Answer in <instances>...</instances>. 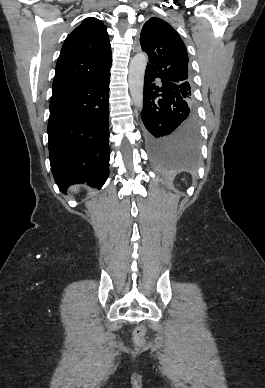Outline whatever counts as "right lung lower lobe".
Instances as JSON below:
<instances>
[{"label":"right lung lower lobe","instance_id":"98d812e1","mask_svg":"<svg viewBox=\"0 0 265 388\" xmlns=\"http://www.w3.org/2000/svg\"><path fill=\"white\" fill-rule=\"evenodd\" d=\"M109 82L106 77L53 93L48 143L51 170L61 192L75 182L101 187L109 174Z\"/></svg>","mask_w":265,"mask_h":388}]
</instances>
